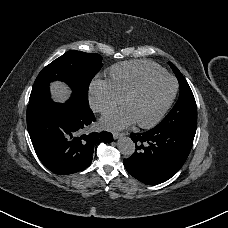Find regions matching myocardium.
<instances>
[{"label":"myocardium","mask_w":228,"mask_h":228,"mask_svg":"<svg viewBox=\"0 0 228 228\" xmlns=\"http://www.w3.org/2000/svg\"><path fill=\"white\" fill-rule=\"evenodd\" d=\"M161 78H167V79L171 80V82H172L171 92L169 94V97L163 104L162 108L160 109V111L156 114V116L151 121H149L147 123L137 122L138 126H140L141 128H144V129L153 128L161 121V119L167 112L168 108L170 107V105L175 97V93L177 90V82H176L175 78L166 73L153 75L151 77L144 79L137 87H135L125 97L124 103L127 104L131 99L138 96L149 84H151L152 82H154L158 79H161Z\"/></svg>","instance_id":"f54148a6"}]
</instances>
